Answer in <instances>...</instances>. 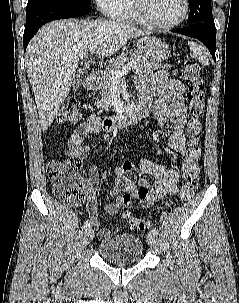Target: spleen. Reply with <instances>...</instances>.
<instances>
[{"label": "spleen", "instance_id": "obj_1", "mask_svg": "<svg viewBox=\"0 0 239 303\" xmlns=\"http://www.w3.org/2000/svg\"><path fill=\"white\" fill-rule=\"evenodd\" d=\"M193 56L203 65H209V58L206 49L194 42H189Z\"/></svg>", "mask_w": 239, "mask_h": 303}]
</instances>
